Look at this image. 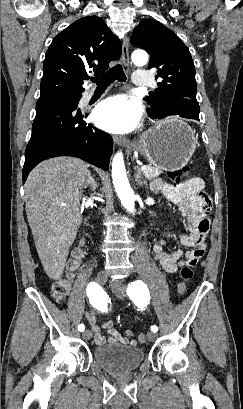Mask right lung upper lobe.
Masks as SVG:
<instances>
[{"label": "right lung upper lobe", "mask_w": 243, "mask_h": 409, "mask_svg": "<svg viewBox=\"0 0 243 409\" xmlns=\"http://www.w3.org/2000/svg\"><path fill=\"white\" fill-rule=\"evenodd\" d=\"M121 42L97 16H86L60 32L48 48L38 101L81 96L88 73H103L119 59Z\"/></svg>", "instance_id": "right-lung-upper-lobe-1"}]
</instances>
